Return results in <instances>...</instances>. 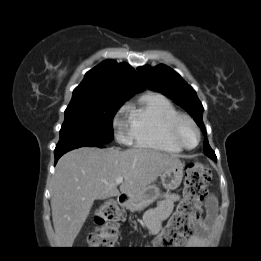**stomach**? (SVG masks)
I'll use <instances>...</instances> for the list:
<instances>
[{
  "label": "stomach",
  "instance_id": "1",
  "mask_svg": "<svg viewBox=\"0 0 261 261\" xmlns=\"http://www.w3.org/2000/svg\"><path fill=\"white\" fill-rule=\"evenodd\" d=\"M184 165L180 162L161 175L162 186L170 191L178 188L182 182ZM160 196V189L156 185H149L133 196H128L123 205L131 210H140L153 203Z\"/></svg>",
  "mask_w": 261,
  "mask_h": 261
}]
</instances>
